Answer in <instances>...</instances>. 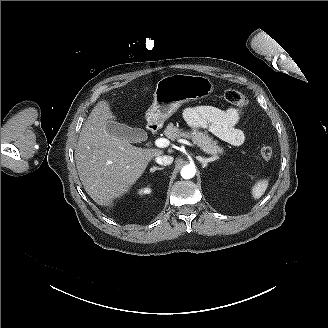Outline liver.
<instances>
[{
    "label": "liver",
    "instance_id": "obj_1",
    "mask_svg": "<svg viewBox=\"0 0 328 328\" xmlns=\"http://www.w3.org/2000/svg\"><path fill=\"white\" fill-rule=\"evenodd\" d=\"M114 116L100 101L84 123L75 150L76 167L87 194L98 204L111 206L140 178L153 157L163 151L143 149L105 133Z\"/></svg>",
    "mask_w": 328,
    "mask_h": 328
}]
</instances>
